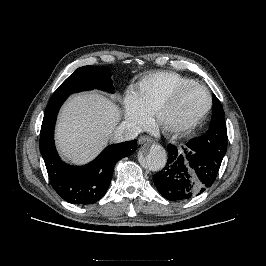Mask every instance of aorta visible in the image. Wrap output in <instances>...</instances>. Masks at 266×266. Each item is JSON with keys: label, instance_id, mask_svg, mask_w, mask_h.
I'll return each mask as SVG.
<instances>
[{"label": "aorta", "instance_id": "762f6f07", "mask_svg": "<svg viewBox=\"0 0 266 266\" xmlns=\"http://www.w3.org/2000/svg\"><path fill=\"white\" fill-rule=\"evenodd\" d=\"M167 161V154L165 149L159 144L150 146L148 152L144 157V162L152 171H158L164 168Z\"/></svg>", "mask_w": 266, "mask_h": 266}]
</instances>
